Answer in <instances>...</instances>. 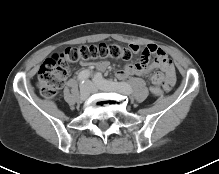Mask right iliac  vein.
<instances>
[{
    "label": "right iliac vein",
    "instance_id": "obj_1",
    "mask_svg": "<svg viewBox=\"0 0 219 174\" xmlns=\"http://www.w3.org/2000/svg\"><path fill=\"white\" fill-rule=\"evenodd\" d=\"M91 94V88L88 84H84L80 88V100L86 101Z\"/></svg>",
    "mask_w": 219,
    "mask_h": 174
}]
</instances>
